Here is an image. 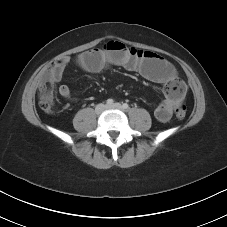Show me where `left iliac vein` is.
<instances>
[{
  "mask_svg": "<svg viewBox=\"0 0 227 227\" xmlns=\"http://www.w3.org/2000/svg\"><path fill=\"white\" fill-rule=\"evenodd\" d=\"M107 108L108 109H118V110H121V111L124 110L123 106L120 103H115V104H112V105H108Z\"/></svg>",
  "mask_w": 227,
  "mask_h": 227,
  "instance_id": "left-iliac-vein-1",
  "label": "left iliac vein"
}]
</instances>
